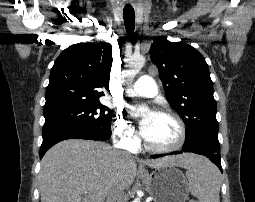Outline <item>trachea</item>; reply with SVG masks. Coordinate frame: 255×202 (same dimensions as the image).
<instances>
[{
    "label": "trachea",
    "mask_w": 255,
    "mask_h": 202,
    "mask_svg": "<svg viewBox=\"0 0 255 202\" xmlns=\"http://www.w3.org/2000/svg\"><path fill=\"white\" fill-rule=\"evenodd\" d=\"M123 18L125 22V28L129 35H132L135 27V12L133 8H124Z\"/></svg>",
    "instance_id": "trachea-1"
}]
</instances>
